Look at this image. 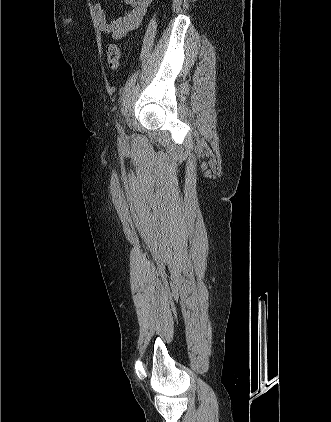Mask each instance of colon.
<instances>
[{
    "label": "colon",
    "mask_w": 331,
    "mask_h": 422,
    "mask_svg": "<svg viewBox=\"0 0 331 422\" xmlns=\"http://www.w3.org/2000/svg\"><path fill=\"white\" fill-rule=\"evenodd\" d=\"M106 59L111 68L115 69L119 66L121 61V51L116 43H108L106 47Z\"/></svg>",
    "instance_id": "colon-1"
}]
</instances>
